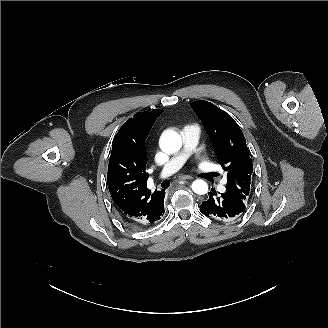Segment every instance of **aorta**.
I'll list each match as a JSON object with an SVG mask.
<instances>
[{"instance_id": "obj_1", "label": "aorta", "mask_w": 328, "mask_h": 328, "mask_svg": "<svg viewBox=\"0 0 328 328\" xmlns=\"http://www.w3.org/2000/svg\"><path fill=\"white\" fill-rule=\"evenodd\" d=\"M160 144L167 152H176L182 146V139L177 132L167 131L162 134ZM192 190L198 195H204L208 192V185L203 180H195L192 183Z\"/></svg>"}]
</instances>
